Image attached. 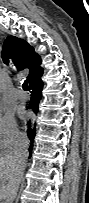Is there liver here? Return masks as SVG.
<instances>
[{
  "label": "liver",
  "mask_w": 89,
  "mask_h": 203,
  "mask_svg": "<svg viewBox=\"0 0 89 203\" xmlns=\"http://www.w3.org/2000/svg\"><path fill=\"white\" fill-rule=\"evenodd\" d=\"M19 178L18 161L12 155L0 157V198L8 203L15 196L14 191Z\"/></svg>",
  "instance_id": "obj_1"
}]
</instances>
